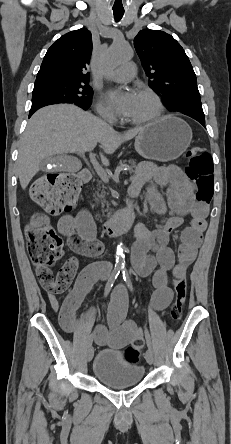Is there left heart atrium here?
Wrapping results in <instances>:
<instances>
[{
  "label": "left heart atrium",
  "mask_w": 231,
  "mask_h": 444,
  "mask_svg": "<svg viewBox=\"0 0 231 444\" xmlns=\"http://www.w3.org/2000/svg\"><path fill=\"white\" fill-rule=\"evenodd\" d=\"M136 94L133 92L120 93L118 91H110L107 94L109 103L116 109L118 113L128 117L132 111Z\"/></svg>",
  "instance_id": "1"
}]
</instances>
